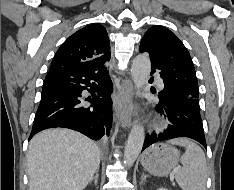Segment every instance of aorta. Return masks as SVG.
Listing matches in <instances>:
<instances>
[{
	"instance_id": "aorta-1",
	"label": "aorta",
	"mask_w": 234,
	"mask_h": 190,
	"mask_svg": "<svg viewBox=\"0 0 234 190\" xmlns=\"http://www.w3.org/2000/svg\"><path fill=\"white\" fill-rule=\"evenodd\" d=\"M151 71V62L147 54H140L135 57L132 63L131 74L136 88H142L148 80ZM145 139L144 127L136 123L128 136L124 150V163L131 167L139 156Z\"/></svg>"
}]
</instances>
